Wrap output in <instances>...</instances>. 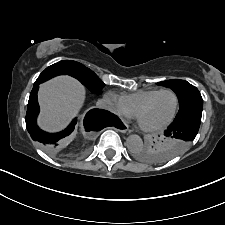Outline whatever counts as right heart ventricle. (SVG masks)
<instances>
[{
    "instance_id": "right-heart-ventricle-1",
    "label": "right heart ventricle",
    "mask_w": 225,
    "mask_h": 225,
    "mask_svg": "<svg viewBox=\"0 0 225 225\" xmlns=\"http://www.w3.org/2000/svg\"><path fill=\"white\" fill-rule=\"evenodd\" d=\"M158 88L141 89L121 97L126 109L135 116L137 109L153 94L158 92Z\"/></svg>"
}]
</instances>
